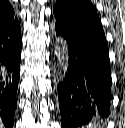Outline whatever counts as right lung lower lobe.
Returning a JSON list of instances; mask_svg holds the SVG:
<instances>
[{"label": "right lung lower lobe", "instance_id": "1", "mask_svg": "<svg viewBox=\"0 0 125 128\" xmlns=\"http://www.w3.org/2000/svg\"><path fill=\"white\" fill-rule=\"evenodd\" d=\"M21 47L19 22L0 31V118L6 128H13L14 125Z\"/></svg>", "mask_w": 125, "mask_h": 128}]
</instances>
